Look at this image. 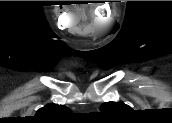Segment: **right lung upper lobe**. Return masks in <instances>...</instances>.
Returning a JSON list of instances; mask_svg holds the SVG:
<instances>
[{
  "mask_svg": "<svg viewBox=\"0 0 172 123\" xmlns=\"http://www.w3.org/2000/svg\"><path fill=\"white\" fill-rule=\"evenodd\" d=\"M70 113V109L63 105L47 104L40 108L33 118L39 121H56L70 115Z\"/></svg>",
  "mask_w": 172,
  "mask_h": 123,
  "instance_id": "obj_1",
  "label": "right lung upper lobe"
}]
</instances>
